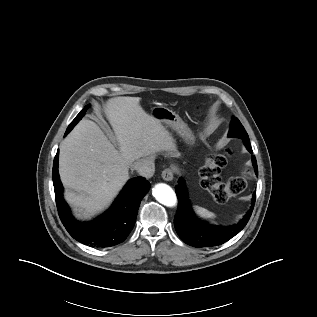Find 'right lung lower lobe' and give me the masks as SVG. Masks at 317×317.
<instances>
[{"instance_id": "98d812e1", "label": "right lung lower lobe", "mask_w": 317, "mask_h": 317, "mask_svg": "<svg viewBox=\"0 0 317 317\" xmlns=\"http://www.w3.org/2000/svg\"><path fill=\"white\" fill-rule=\"evenodd\" d=\"M58 157L59 150L53 162L52 179L57 209L66 230L75 240L91 247L104 248L122 243L134 227L140 202L150 183L142 177L130 179L107 212L91 222H80L74 219L63 198Z\"/></svg>"}]
</instances>
